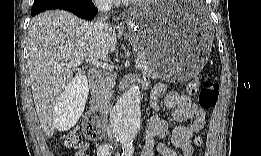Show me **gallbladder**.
<instances>
[{
    "instance_id": "1",
    "label": "gallbladder",
    "mask_w": 261,
    "mask_h": 156,
    "mask_svg": "<svg viewBox=\"0 0 261 156\" xmlns=\"http://www.w3.org/2000/svg\"><path fill=\"white\" fill-rule=\"evenodd\" d=\"M80 75H75L70 84L67 85L68 88L64 89L60 98L62 100L58 101L52 110L53 125L58 130H68L74 127L75 122L80 120L81 114L87 102V96L89 93V87L87 83V77L83 75L84 73H79Z\"/></svg>"
}]
</instances>
